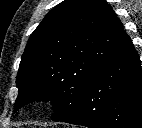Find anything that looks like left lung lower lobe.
Returning <instances> with one entry per match:
<instances>
[{
  "mask_svg": "<svg viewBox=\"0 0 142 128\" xmlns=\"http://www.w3.org/2000/svg\"><path fill=\"white\" fill-rule=\"evenodd\" d=\"M61 122L142 128V69L131 41L89 80L74 110Z\"/></svg>",
  "mask_w": 142,
  "mask_h": 128,
  "instance_id": "1",
  "label": "left lung lower lobe"
}]
</instances>
